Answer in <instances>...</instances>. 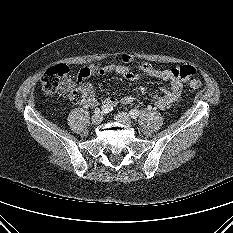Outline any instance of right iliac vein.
I'll return each mask as SVG.
<instances>
[{"label": "right iliac vein", "mask_w": 233, "mask_h": 233, "mask_svg": "<svg viewBox=\"0 0 233 233\" xmlns=\"http://www.w3.org/2000/svg\"><path fill=\"white\" fill-rule=\"evenodd\" d=\"M103 119V113L102 112H97L92 116V123L94 125H99Z\"/></svg>", "instance_id": "63e3f726"}]
</instances>
